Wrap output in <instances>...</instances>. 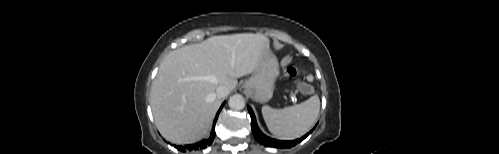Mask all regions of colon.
<instances>
[{
	"label": "colon",
	"mask_w": 499,
	"mask_h": 154,
	"mask_svg": "<svg viewBox=\"0 0 499 154\" xmlns=\"http://www.w3.org/2000/svg\"><path fill=\"white\" fill-rule=\"evenodd\" d=\"M287 73L291 77H295L297 75V71L294 68H289ZM299 89L304 94H310L312 92V87L306 82H299Z\"/></svg>",
	"instance_id": "colon-1"
}]
</instances>
